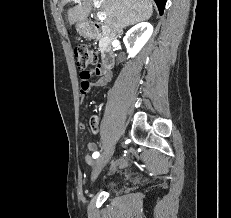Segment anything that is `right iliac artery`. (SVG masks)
Wrapping results in <instances>:
<instances>
[{
  "label": "right iliac artery",
  "mask_w": 231,
  "mask_h": 218,
  "mask_svg": "<svg viewBox=\"0 0 231 218\" xmlns=\"http://www.w3.org/2000/svg\"><path fill=\"white\" fill-rule=\"evenodd\" d=\"M98 156H99V152H94L93 153V158L95 159V158H98Z\"/></svg>",
  "instance_id": "1"
}]
</instances>
